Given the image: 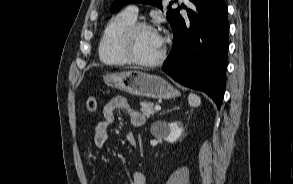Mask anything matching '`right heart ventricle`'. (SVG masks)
<instances>
[{"instance_id":"obj_1","label":"right heart ventricle","mask_w":293,"mask_h":184,"mask_svg":"<svg viewBox=\"0 0 293 184\" xmlns=\"http://www.w3.org/2000/svg\"><path fill=\"white\" fill-rule=\"evenodd\" d=\"M135 21L136 18L124 11L107 23L98 45L99 58L104 64L120 66L129 62L122 54L120 41L124 31Z\"/></svg>"}]
</instances>
